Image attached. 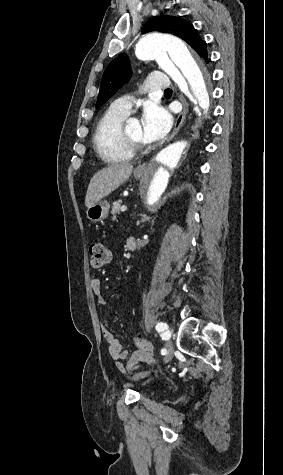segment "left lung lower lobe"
Returning a JSON list of instances; mask_svg holds the SVG:
<instances>
[{
    "label": "left lung lower lobe",
    "instance_id": "left-lung-lower-lobe-1",
    "mask_svg": "<svg viewBox=\"0 0 283 475\" xmlns=\"http://www.w3.org/2000/svg\"><path fill=\"white\" fill-rule=\"evenodd\" d=\"M204 59H206V62H207V63L210 61L209 59H207V53L205 54V58H204Z\"/></svg>",
    "mask_w": 283,
    "mask_h": 475
}]
</instances>
